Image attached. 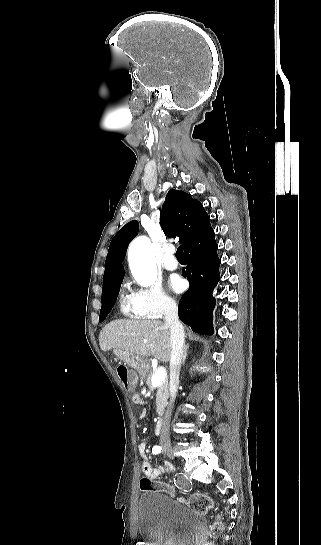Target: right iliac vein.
Listing matches in <instances>:
<instances>
[{"label": "right iliac vein", "mask_w": 321, "mask_h": 545, "mask_svg": "<svg viewBox=\"0 0 321 545\" xmlns=\"http://www.w3.org/2000/svg\"><path fill=\"white\" fill-rule=\"evenodd\" d=\"M163 453L168 456L169 458H173L174 455H173V450L169 447H164L163 448Z\"/></svg>", "instance_id": "1"}]
</instances>
